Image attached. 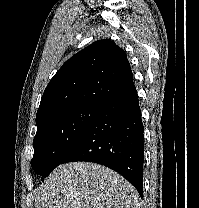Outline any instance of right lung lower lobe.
Returning <instances> with one entry per match:
<instances>
[{"label":"right lung lower lobe","mask_w":199,"mask_h":208,"mask_svg":"<svg viewBox=\"0 0 199 208\" xmlns=\"http://www.w3.org/2000/svg\"><path fill=\"white\" fill-rule=\"evenodd\" d=\"M144 128L134 85L99 106L93 119L62 163L105 165L143 194Z\"/></svg>","instance_id":"right-lung-lower-lobe-1"}]
</instances>
